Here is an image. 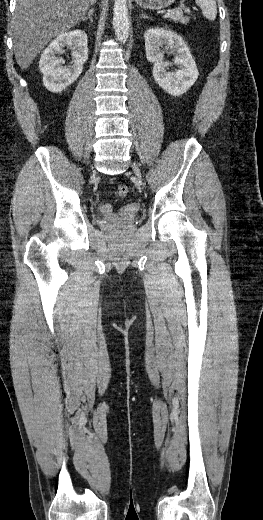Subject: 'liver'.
I'll use <instances>...</instances> for the list:
<instances>
[{
    "label": "liver",
    "instance_id": "6515ba94",
    "mask_svg": "<svg viewBox=\"0 0 263 520\" xmlns=\"http://www.w3.org/2000/svg\"><path fill=\"white\" fill-rule=\"evenodd\" d=\"M96 0H17L13 16L14 54L27 69L48 42L85 17Z\"/></svg>",
    "mask_w": 263,
    "mask_h": 520
}]
</instances>
